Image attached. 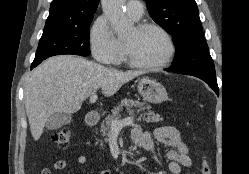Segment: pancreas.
Here are the masks:
<instances>
[{
	"label": "pancreas",
	"instance_id": "pancreas-1",
	"mask_svg": "<svg viewBox=\"0 0 249 174\" xmlns=\"http://www.w3.org/2000/svg\"><path fill=\"white\" fill-rule=\"evenodd\" d=\"M123 108H125L127 113H129L130 115L134 114L135 109H137L136 110L137 112H142V111L147 110V112L142 115V119L144 121L159 122L163 120V118L160 117L159 114H156L154 111L151 110L150 105L144 102H140L138 100L134 101L132 99H123L121 100L120 104H118V106L112 110V114L108 115L103 121V123L101 124L100 132L103 137H106L109 135V131L111 129L110 127L111 121L119 117L120 112L123 110ZM105 141H107L106 138H105Z\"/></svg>",
	"mask_w": 249,
	"mask_h": 174
}]
</instances>
